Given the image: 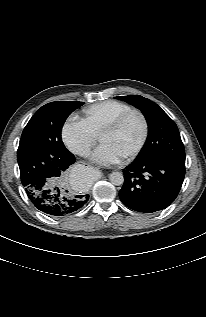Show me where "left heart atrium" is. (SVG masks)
Masks as SVG:
<instances>
[{
	"mask_svg": "<svg viewBox=\"0 0 206 317\" xmlns=\"http://www.w3.org/2000/svg\"><path fill=\"white\" fill-rule=\"evenodd\" d=\"M122 156L113 146L102 143L92 154V159L101 164H115L120 162Z\"/></svg>",
	"mask_w": 206,
	"mask_h": 317,
	"instance_id": "1",
	"label": "left heart atrium"
}]
</instances>
